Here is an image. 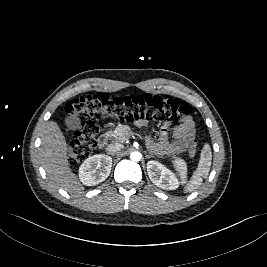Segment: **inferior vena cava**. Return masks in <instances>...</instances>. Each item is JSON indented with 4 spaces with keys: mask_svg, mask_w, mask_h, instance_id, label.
Masks as SVG:
<instances>
[{
    "mask_svg": "<svg viewBox=\"0 0 267 267\" xmlns=\"http://www.w3.org/2000/svg\"><path fill=\"white\" fill-rule=\"evenodd\" d=\"M123 148V145L120 144V143H111L107 146L106 148V152L108 154H111V155H114L116 154L117 152L121 151Z\"/></svg>",
    "mask_w": 267,
    "mask_h": 267,
    "instance_id": "602c4592",
    "label": "inferior vena cava"
}]
</instances>
